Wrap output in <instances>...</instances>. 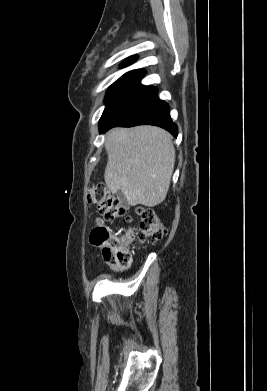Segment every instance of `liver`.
Wrapping results in <instances>:
<instances>
[{"label": "liver", "mask_w": 267, "mask_h": 391, "mask_svg": "<svg viewBox=\"0 0 267 391\" xmlns=\"http://www.w3.org/2000/svg\"><path fill=\"white\" fill-rule=\"evenodd\" d=\"M109 191L124 194L131 206L159 205L166 198L175 164L172 136L155 126L114 128L106 134Z\"/></svg>", "instance_id": "liver-1"}]
</instances>
